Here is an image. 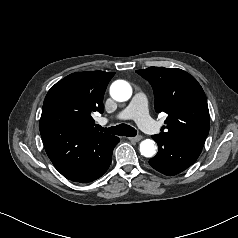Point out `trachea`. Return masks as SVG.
Segmentation results:
<instances>
[{"label": "trachea", "mask_w": 238, "mask_h": 238, "mask_svg": "<svg viewBox=\"0 0 238 238\" xmlns=\"http://www.w3.org/2000/svg\"><path fill=\"white\" fill-rule=\"evenodd\" d=\"M96 128L99 131H102V132H105L108 134L119 135V136L134 137L137 134V131L133 127H131L127 124H120V125H117L114 127L112 126L109 128H103V127L97 125Z\"/></svg>", "instance_id": "1"}]
</instances>
